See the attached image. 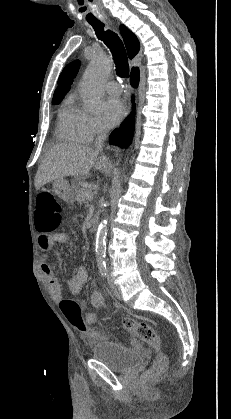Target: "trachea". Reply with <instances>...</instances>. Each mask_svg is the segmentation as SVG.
<instances>
[{"label":"trachea","instance_id":"3493384b","mask_svg":"<svg viewBox=\"0 0 231 419\" xmlns=\"http://www.w3.org/2000/svg\"><path fill=\"white\" fill-rule=\"evenodd\" d=\"M89 23L94 28L98 39L103 41L110 49L116 65L117 75L121 78H127L129 76L127 53L118 35L110 30L104 31V24L99 21Z\"/></svg>","mask_w":231,"mask_h":419}]
</instances>
